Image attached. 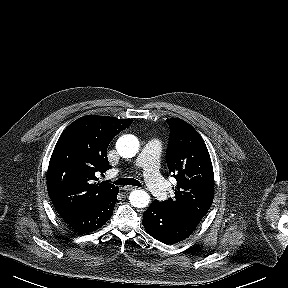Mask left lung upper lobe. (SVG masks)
<instances>
[{
	"label": "left lung upper lobe",
	"instance_id": "obj_1",
	"mask_svg": "<svg viewBox=\"0 0 288 288\" xmlns=\"http://www.w3.org/2000/svg\"><path fill=\"white\" fill-rule=\"evenodd\" d=\"M167 122L171 130L167 165L177 185L175 196L159 204L167 211L198 224L214 197L210 155L202 137L190 124L178 118Z\"/></svg>",
	"mask_w": 288,
	"mask_h": 288
}]
</instances>
